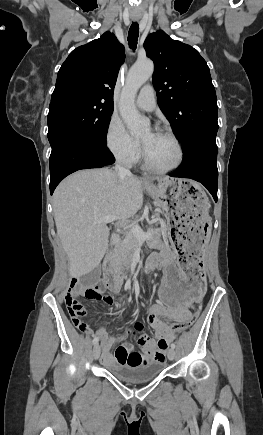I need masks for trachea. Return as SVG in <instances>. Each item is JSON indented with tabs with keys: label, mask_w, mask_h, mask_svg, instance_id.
Segmentation results:
<instances>
[{
	"label": "trachea",
	"mask_w": 263,
	"mask_h": 435,
	"mask_svg": "<svg viewBox=\"0 0 263 435\" xmlns=\"http://www.w3.org/2000/svg\"><path fill=\"white\" fill-rule=\"evenodd\" d=\"M139 36V25L137 22L132 23L128 32V44L132 50L137 47V41Z\"/></svg>",
	"instance_id": "trachea-1"
}]
</instances>
